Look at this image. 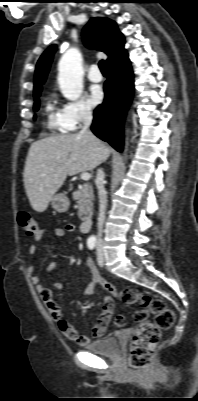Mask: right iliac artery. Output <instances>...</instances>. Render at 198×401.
<instances>
[{"label": "right iliac artery", "mask_w": 198, "mask_h": 401, "mask_svg": "<svg viewBox=\"0 0 198 401\" xmlns=\"http://www.w3.org/2000/svg\"><path fill=\"white\" fill-rule=\"evenodd\" d=\"M87 245H88V247H89V249H94V247H95V245H96V239H94V238H89L88 240H87Z\"/></svg>", "instance_id": "82829eb1"}]
</instances>
